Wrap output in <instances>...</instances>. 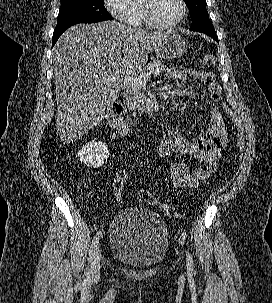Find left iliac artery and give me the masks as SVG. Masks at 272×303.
Masks as SVG:
<instances>
[{
    "label": "left iliac artery",
    "instance_id": "1",
    "mask_svg": "<svg viewBox=\"0 0 272 303\" xmlns=\"http://www.w3.org/2000/svg\"><path fill=\"white\" fill-rule=\"evenodd\" d=\"M186 262H187V269L189 271H193V260L189 252L186 251Z\"/></svg>",
    "mask_w": 272,
    "mask_h": 303
}]
</instances>
